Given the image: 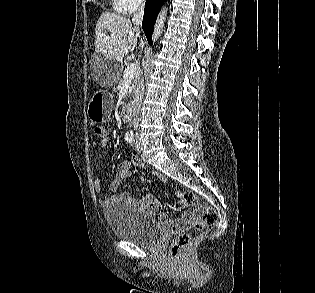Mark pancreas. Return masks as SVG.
<instances>
[{"label": "pancreas", "mask_w": 315, "mask_h": 293, "mask_svg": "<svg viewBox=\"0 0 315 293\" xmlns=\"http://www.w3.org/2000/svg\"><path fill=\"white\" fill-rule=\"evenodd\" d=\"M137 76H138V75H137L136 73H135L134 76H133V83H132L131 87L129 88L128 95L132 94V92H133V90H134V81L136 80ZM122 81H123V79L120 78L119 83H118V89L121 88ZM123 104H125V102H123Z\"/></svg>", "instance_id": "cf45deb5"}]
</instances>
